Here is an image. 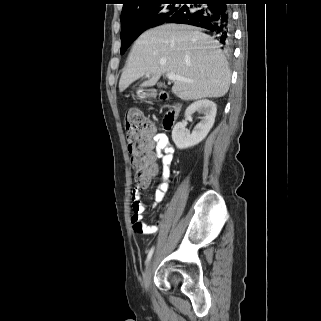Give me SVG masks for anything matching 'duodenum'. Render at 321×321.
I'll return each instance as SVG.
<instances>
[{
    "instance_id": "410a0bca",
    "label": "duodenum",
    "mask_w": 321,
    "mask_h": 321,
    "mask_svg": "<svg viewBox=\"0 0 321 321\" xmlns=\"http://www.w3.org/2000/svg\"><path fill=\"white\" fill-rule=\"evenodd\" d=\"M166 94H161V98L165 99ZM180 110V105L178 103L173 105V108L166 114L164 119V126L166 128H171L178 116Z\"/></svg>"
}]
</instances>
